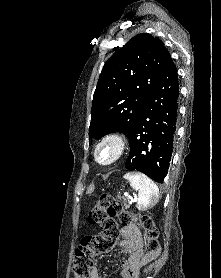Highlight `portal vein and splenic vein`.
I'll return each mask as SVG.
<instances>
[{"instance_id": "1", "label": "portal vein and splenic vein", "mask_w": 221, "mask_h": 278, "mask_svg": "<svg viewBox=\"0 0 221 278\" xmlns=\"http://www.w3.org/2000/svg\"><path fill=\"white\" fill-rule=\"evenodd\" d=\"M124 195L128 197L132 202L136 200L135 198H132L128 193H125Z\"/></svg>"}]
</instances>
